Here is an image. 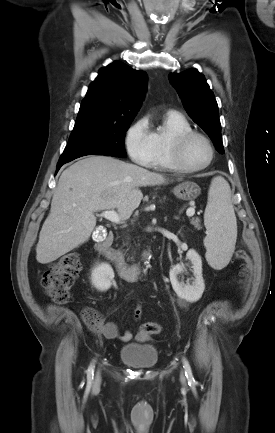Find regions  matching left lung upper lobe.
<instances>
[{"mask_svg":"<svg viewBox=\"0 0 275 433\" xmlns=\"http://www.w3.org/2000/svg\"><path fill=\"white\" fill-rule=\"evenodd\" d=\"M168 77L188 115L208 134L216 150L223 154L218 105L205 77L194 68Z\"/></svg>","mask_w":275,"mask_h":433,"instance_id":"obj_1","label":"left lung upper lobe"}]
</instances>
